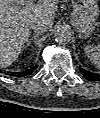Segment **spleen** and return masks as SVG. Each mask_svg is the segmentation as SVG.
Returning a JSON list of instances; mask_svg holds the SVG:
<instances>
[{
  "label": "spleen",
  "mask_w": 100,
  "mask_h": 118,
  "mask_svg": "<svg viewBox=\"0 0 100 118\" xmlns=\"http://www.w3.org/2000/svg\"><path fill=\"white\" fill-rule=\"evenodd\" d=\"M85 54L89 60L96 66L100 63V47L99 46H86L84 47Z\"/></svg>",
  "instance_id": "1"
}]
</instances>
